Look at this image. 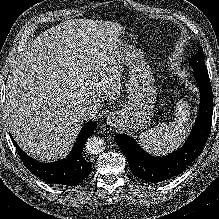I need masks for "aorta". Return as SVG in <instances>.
<instances>
[{"label":"aorta","mask_w":219,"mask_h":219,"mask_svg":"<svg viewBox=\"0 0 219 219\" xmlns=\"http://www.w3.org/2000/svg\"><path fill=\"white\" fill-rule=\"evenodd\" d=\"M104 140L100 137H91L86 141L85 148L90 154H99L105 149Z\"/></svg>","instance_id":"1"}]
</instances>
